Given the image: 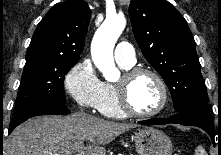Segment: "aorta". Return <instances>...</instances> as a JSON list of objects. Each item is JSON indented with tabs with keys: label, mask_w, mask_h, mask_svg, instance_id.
I'll use <instances>...</instances> for the list:
<instances>
[{
	"label": "aorta",
	"mask_w": 221,
	"mask_h": 155,
	"mask_svg": "<svg viewBox=\"0 0 221 155\" xmlns=\"http://www.w3.org/2000/svg\"><path fill=\"white\" fill-rule=\"evenodd\" d=\"M125 26L126 20L123 16L106 18L92 40L93 62L107 81H115L119 77V71L114 63L113 49Z\"/></svg>",
	"instance_id": "aorta-1"
}]
</instances>
